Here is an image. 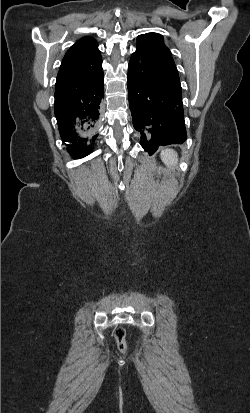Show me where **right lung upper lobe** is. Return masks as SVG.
<instances>
[{"label":"right lung upper lobe","mask_w":250,"mask_h":413,"mask_svg":"<svg viewBox=\"0 0 250 413\" xmlns=\"http://www.w3.org/2000/svg\"><path fill=\"white\" fill-rule=\"evenodd\" d=\"M102 70L98 44L92 37L77 41L65 54L55 88L80 85L91 81Z\"/></svg>","instance_id":"cb5924a9"}]
</instances>
